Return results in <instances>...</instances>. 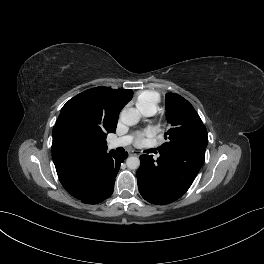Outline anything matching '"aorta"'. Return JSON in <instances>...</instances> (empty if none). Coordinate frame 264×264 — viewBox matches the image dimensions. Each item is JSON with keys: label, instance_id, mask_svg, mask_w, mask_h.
I'll return each instance as SVG.
<instances>
[{"label": "aorta", "instance_id": "aorta-1", "mask_svg": "<svg viewBox=\"0 0 264 264\" xmlns=\"http://www.w3.org/2000/svg\"><path fill=\"white\" fill-rule=\"evenodd\" d=\"M120 119L122 123L128 126L136 125L140 120V115L135 108H128L122 110L120 114ZM127 167L129 169H138L140 166L139 158L135 156L128 157L126 160Z\"/></svg>", "mask_w": 264, "mask_h": 264}]
</instances>
